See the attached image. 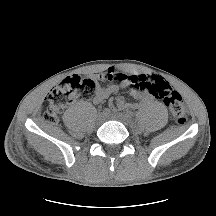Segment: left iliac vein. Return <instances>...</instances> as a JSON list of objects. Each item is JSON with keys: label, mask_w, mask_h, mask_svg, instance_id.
<instances>
[{"label": "left iliac vein", "mask_w": 216, "mask_h": 216, "mask_svg": "<svg viewBox=\"0 0 216 216\" xmlns=\"http://www.w3.org/2000/svg\"><path fill=\"white\" fill-rule=\"evenodd\" d=\"M110 118L114 119V120H117V121H120L126 126H131L132 125V119L128 115H126L124 113L112 114V115H110Z\"/></svg>", "instance_id": "left-iliac-vein-1"}]
</instances>
